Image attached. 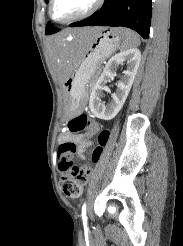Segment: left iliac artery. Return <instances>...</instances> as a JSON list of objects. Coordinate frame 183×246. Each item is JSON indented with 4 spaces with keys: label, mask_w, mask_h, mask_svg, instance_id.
Wrapping results in <instances>:
<instances>
[{
    "label": "left iliac artery",
    "mask_w": 183,
    "mask_h": 246,
    "mask_svg": "<svg viewBox=\"0 0 183 246\" xmlns=\"http://www.w3.org/2000/svg\"><path fill=\"white\" fill-rule=\"evenodd\" d=\"M82 220H83V225L85 228H87V216H86V202H84L82 206Z\"/></svg>",
    "instance_id": "1"
}]
</instances>
